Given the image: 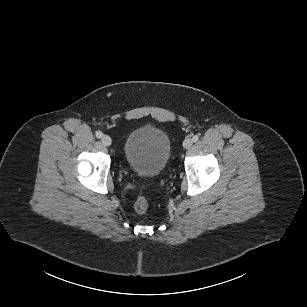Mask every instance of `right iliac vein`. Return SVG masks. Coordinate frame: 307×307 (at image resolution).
Masks as SVG:
<instances>
[{
	"mask_svg": "<svg viewBox=\"0 0 307 307\" xmlns=\"http://www.w3.org/2000/svg\"><path fill=\"white\" fill-rule=\"evenodd\" d=\"M101 142L105 146H110L112 144V140H111V138L108 135H103L101 137Z\"/></svg>",
	"mask_w": 307,
	"mask_h": 307,
	"instance_id": "1",
	"label": "right iliac vein"
}]
</instances>
